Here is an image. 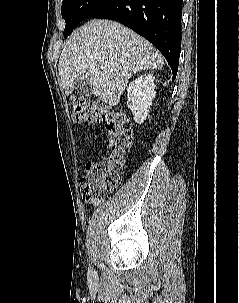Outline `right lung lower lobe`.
I'll list each match as a JSON object with an SVG mask.
<instances>
[{
    "label": "right lung lower lobe",
    "instance_id": "98d812e1",
    "mask_svg": "<svg viewBox=\"0 0 239 303\" xmlns=\"http://www.w3.org/2000/svg\"><path fill=\"white\" fill-rule=\"evenodd\" d=\"M183 0H106L87 18L120 22L150 41L166 58L176 78L181 49Z\"/></svg>",
    "mask_w": 239,
    "mask_h": 303
}]
</instances>
